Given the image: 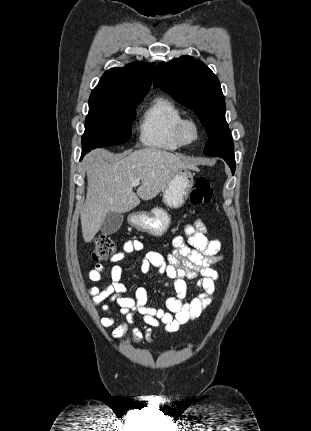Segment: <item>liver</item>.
Listing matches in <instances>:
<instances>
[{
    "instance_id": "liver-1",
    "label": "liver",
    "mask_w": 311,
    "mask_h": 431,
    "mask_svg": "<svg viewBox=\"0 0 311 431\" xmlns=\"http://www.w3.org/2000/svg\"><path fill=\"white\" fill-rule=\"evenodd\" d=\"M104 150H92L83 160L88 186L80 214L84 241H91L109 212L126 214L140 200H152L163 192L179 170H198L189 158H179L158 148L127 150L106 162ZM133 180H141L133 192Z\"/></svg>"
}]
</instances>
